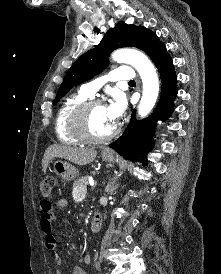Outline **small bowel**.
Segmentation results:
<instances>
[{"mask_svg": "<svg viewBox=\"0 0 221 274\" xmlns=\"http://www.w3.org/2000/svg\"><path fill=\"white\" fill-rule=\"evenodd\" d=\"M67 201L65 199H59L56 201L55 206L59 208H64L67 206ZM40 213V226L44 234L45 247L54 253V259L57 266H60L62 259L57 250V240L53 233V224L56 219L53 212V206L47 200H42L39 205ZM55 274H62L59 269L56 270ZM71 274H87L84 268L81 266H75L72 269Z\"/></svg>", "mask_w": 221, "mask_h": 274, "instance_id": "1", "label": "small bowel"}]
</instances>
